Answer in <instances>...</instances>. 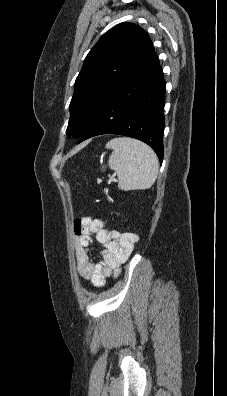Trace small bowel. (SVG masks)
Segmentation results:
<instances>
[{
  "label": "small bowel",
  "instance_id": "1",
  "mask_svg": "<svg viewBox=\"0 0 227 396\" xmlns=\"http://www.w3.org/2000/svg\"><path fill=\"white\" fill-rule=\"evenodd\" d=\"M74 233L77 271L96 287H102L107 277L119 274L120 266L131 256L138 242L135 233L108 229L101 220L91 217L75 220ZM93 236L103 247L98 263L92 260L89 252Z\"/></svg>",
  "mask_w": 227,
  "mask_h": 396
}]
</instances>
